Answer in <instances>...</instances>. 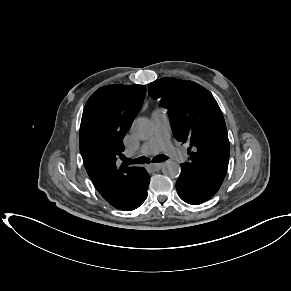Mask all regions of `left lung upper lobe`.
Listing matches in <instances>:
<instances>
[{"mask_svg":"<svg viewBox=\"0 0 291 291\" xmlns=\"http://www.w3.org/2000/svg\"><path fill=\"white\" fill-rule=\"evenodd\" d=\"M149 95L168 109L172 131L188 143L187 169L222 183L229 160V140L222 112L212 94L201 85L174 78L150 83Z\"/></svg>","mask_w":291,"mask_h":291,"instance_id":"5c2ea615","label":"left lung upper lobe"}]
</instances>
